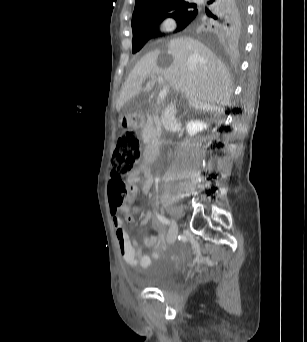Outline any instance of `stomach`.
I'll use <instances>...</instances> for the list:
<instances>
[{
    "mask_svg": "<svg viewBox=\"0 0 307 342\" xmlns=\"http://www.w3.org/2000/svg\"><path fill=\"white\" fill-rule=\"evenodd\" d=\"M122 123H124V122H126L127 121V119L126 118H122Z\"/></svg>",
    "mask_w": 307,
    "mask_h": 342,
    "instance_id": "0dacf381",
    "label": "stomach"
}]
</instances>
